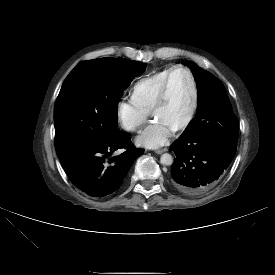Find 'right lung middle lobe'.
I'll return each instance as SVG.
<instances>
[{"instance_id":"right-lung-middle-lobe-1","label":"right lung middle lobe","mask_w":275,"mask_h":275,"mask_svg":"<svg viewBox=\"0 0 275 275\" xmlns=\"http://www.w3.org/2000/svg\"><path fill=\"white\" fill-rule=\"evenodd\" d=\"M146 64L123 58L79 63L67 76L55 104L58 155L117 132V106L124 89Z\"/></svg>"}]
</instances>
